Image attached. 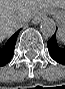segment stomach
I'll return each instance as SVG.
<instances>
[{
  "mask_svg": "<svg viewBox=\"0 0 65 89\" xmlns=\"http://www.w3.org/2000/svg\"><path fill=\"white\" fill-rule=\"evenodd\" d=\"M51 11H52V9H51ZM53 13L57 16L60 15V12L58 10L53 11ZM61 15H64V11H61Z\"/></svg>",
  "mask_w": 65,
  "mask_h": 89,
  "instance_id": "1",
  "label": "stomach"
}]
</instances>
